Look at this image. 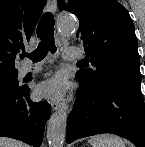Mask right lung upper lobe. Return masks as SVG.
<instances>
[{"instance_id": "1", "label": "right lung upper lobe", "mask_w": 145, "mask_h": 147, "mask_svg": "<svg viewBox=\"0 0 145 147\" xmlns=\"http://www.w3.org/2000/svg\"><path fill=\"white\" fill-rule=\"evenodd\" d=\"M47 0H0V74L18 72L15 59L29 41Z\"/></svg>"}]
</instances>
